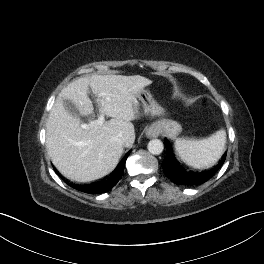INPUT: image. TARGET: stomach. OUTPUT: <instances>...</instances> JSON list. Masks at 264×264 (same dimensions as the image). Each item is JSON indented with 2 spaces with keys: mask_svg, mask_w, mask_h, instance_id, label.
Here are the masks:
<instances>
[{
  "mask_svg": "<svg viewBox=\"0 0 264 264\" xmlns=\"http://www.w3.org/2000/svg\"><path fill=\"white\" fill-rule=\"evenodd\" d=\"M138 100L146 115H161L164 109L154 100L148 90H142L138 95ZM154 127L159 133H163L170 138H176L182 132V126L171 119H161L154 123Z\"/></svg>",
  "mask_w": 264,
  "mask_h": 264,
  "instance_id": "1",
  "label": "stomach"
}]
</instances>
